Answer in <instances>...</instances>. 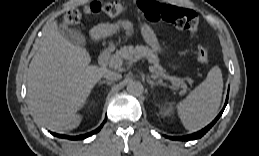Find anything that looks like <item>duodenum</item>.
<instances>
[{"instance_id": "1", "label": "duodenum", "mask_w": 259, "mask_h": 156, "mask_svg": "<svg viewBox=\"0 0 259 156\" xmlns=\"http://www.w3.org/2000/svg\"><path fill=\"white\" fill-rule=\"evenodd\" d=\"M112 52H113L112 46H108V47H106L105 49L102 50V52L100 53V55L98 57V65L100 67L106 66L107 61H108Z\"/></svg>"}]
</instances>
